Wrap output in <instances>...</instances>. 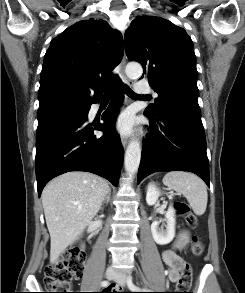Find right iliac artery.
Listing matches in <instances>:
<instances>
[{"label":"right iliac artery","mask_w":245,"mask_h":293,"mask_svg":"<svg viewBox=\"0 0 245 293\" xmlns=\"http://www.w3.org/2000/svg\"><path fill=\"white\" fill-rule=\"evenodd\" d=\"M109 281H107V280H104V281H102L101 282V286H103V287H107V286H109Z\"/></svg>","instance_id":"right-iliac-artery-1"}]
</instances>
